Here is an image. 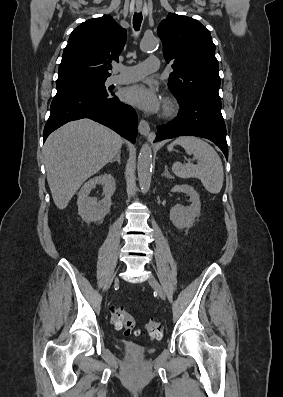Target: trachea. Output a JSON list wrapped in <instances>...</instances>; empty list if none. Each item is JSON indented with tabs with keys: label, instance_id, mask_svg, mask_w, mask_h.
Returning a JSON list of instances; mask_svg holds the SVG:
<instances>
[{
	"label": "trachea",
	"instance_id": "trachea-1",
	"mask_svg": "<svg viewBox=\"0 0 283 397\" xmlns=\"http://www.w3.org/2000/svg\"><path fill=\"white\" fill-rule=\"evenodd\" d=\"M141 22H142V13H134L133 16V27L136 31H138L140 29L141 26Z\"/></svg>",
	"mask_w": 283,
	"mask_h": 397
}]
</instances>
